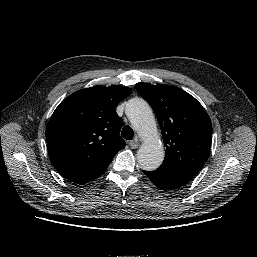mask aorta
Here are the masks:
<instances>
[{
    "mask_svg": "<svg viewBox=\"0 0 257 257\" xmlns=\"http://www.w3.org/2000/svg\"><path fill=\"white\" fill-rule=\"evenodd\" d=\"M125 112L131 124L144 139L137 152L140 167L147 171L156 170L163 162L164 149L158 138L150 106L143 99L135 98L129 101Z\"/></svg>",
    "mask_w": 257,
    "mask_h": 257,
    "instance_id": "obj_1",
    "label": "aorta"
}]
</instances>
